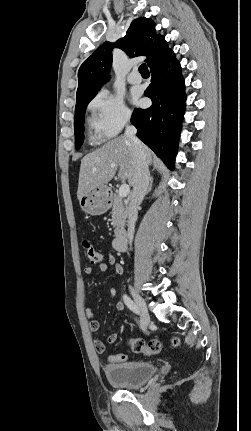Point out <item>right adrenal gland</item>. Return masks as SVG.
Returning a JSON list of instances; mask_svg holds the SVG:
<instances>
[{"instance_id": "obj_1", "label": "right adrenal gland", "mask_w": 251, "mask_h": 431, "mask_svg": "<svg viewBox=\"0 0 251 431\" xmlns=\"http://www.w3.org/2000/svg\"><path fill=\"white\" fill-rule=\"evenodd\" d=\"M149 181L150 182H149V186H148V189H147V194L152 190V185H153V177L152 176L150 177Z\"/></svg>"}]
</instances>
